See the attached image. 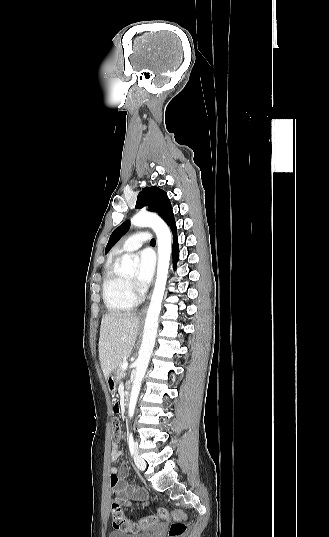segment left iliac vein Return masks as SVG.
<instances>
[{
    "label": "left iliac vein",
    "instance_id": "obj_1",
    "mask_svg": "<svg viewBox=\"0 0 329 537\" xmlns=\"http://www.w3.org/2000/svg\"><path fill=\"white\" fill-rule=\"evenodd\" d=\"M134 462L138 469L142 471L145 469L146 467L145 461L138 453H135L134 455Z\"/></svg>",
    "mask_w": 329,
    "mask_h": 537
}]
</instances>
